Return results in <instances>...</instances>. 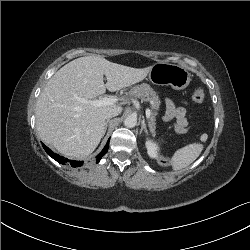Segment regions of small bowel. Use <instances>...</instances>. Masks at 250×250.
<instances>
[{"mask_svg": "<svg viewBox=\"0 0 250 250\" xmlns=\"http://www.w3.org/2000/svg\"><path fill=\"white\" fill-rule=\"evenodd\" d=\"M164 120L175 122V130L185 133L189 129V115L184 106H177L171 99L166 101Z\"/></svg>", "mask_w": 250, "mask_h": 250, "instance_id": "1", "label": "small bowel"}]
</instances>
